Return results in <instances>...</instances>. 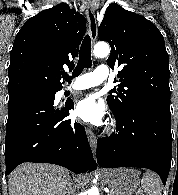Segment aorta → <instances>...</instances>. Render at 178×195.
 I'll return each mask as SVG.
<instances>
[{
    "label": "aorta",
    "mask_w": 178,
    "mask_h": 195,
    "mask_svg": "<svg viewBox=\"0 0 178 195\" xmlns=\"http://www.w3.org/2000/svg\"><path fill=\"white\" fill-rule=\"evenodd\" d=\"M93 53L95 57L102 58L110 54V47L105 42H99L95 45ZM88 195H99V189L97 186H92L88 190Z\"/></svg>",
    "instance_id": "obj_1"
}]
</instances>
